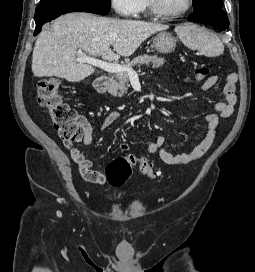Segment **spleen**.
<instances>
[{
  "label": "spleen",
  "instance_id": "1",
  "mask_svg": "<svg viewBox=\"0 0 255 272\" xmlns=\"http://www.w3.org/2000/svg\"><path fill=\"white\" fill-rule=\"evenodd\" d=\"M175 32L184 45L192 50H199L205 56H219L224 51L220 38L205 27L187 23L177 26Z\"/></svg>",
  "mask_w": 255,
  "mask_h": 272
}]
</instances>
